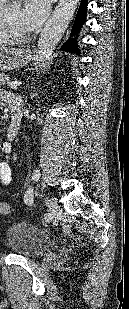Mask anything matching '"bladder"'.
<instances>
[{
	"label": "bladder",
	"mask_w": 129,
	"mask_h": 309,
	"mask_svg": "<svg viewBox=\"0 0 129 309\" xmlns=\"http://www.w3.org/2000/svg\"><path fill=\"white\" fill-rule=\"evenodd\" d=\"M8 247L17 254L31 256L50 244V238L35 225L18 222L6 233Z\"/></svg>",
	"instance_id": "bladder-1"
}]
</instances>
